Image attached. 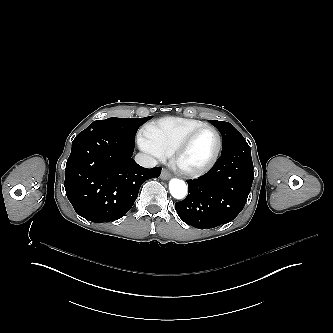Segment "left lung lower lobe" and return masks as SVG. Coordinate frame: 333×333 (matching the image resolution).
Returning a JSON list of instances; mask_svg holds the SVG:
<instances>
[{
    "instance_id": "0a47b994",
    "label": "left lung lower lobe",
    "mask_w": 333,
    "mask_h": 333,
    "mask_svg": "<svg viewBox=\"0 0 333 333\" xmlns=\"http://www.w3.org/2000/svg\"><path fill=\"white\" fill-rule=\"evenodd\" d=\"M253 178L249 145H236L222 152L208 173L187 181L189 193L175 203V209L185 223L195 228L226 224L244 208Z\"/></svg>"
}]
</instances>
